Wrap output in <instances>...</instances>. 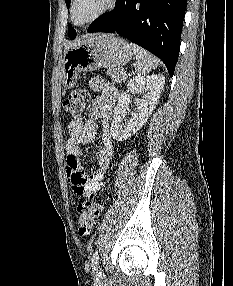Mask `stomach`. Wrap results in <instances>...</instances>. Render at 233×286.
<instances>
[{"label":"stomach","instance_id":"stomach-1","mask_svg":"<svg viewBox=\"0 0 233 286\" xmlns=\"http://www.w3.org/2000/svg\"><path fill=\"white\" fill-rule=\"evenodd\" d=\"M132 57L128 42L114 35H101L70 47L65 51L61 65L63 87H74L81 72L121 67Z\"/></svg>","mask_w":233,"mask_h":286}]
</instances>
